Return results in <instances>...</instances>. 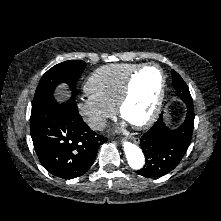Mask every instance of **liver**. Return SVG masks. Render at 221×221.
Segmentation results:
<instances>
[{"mask_svg":"<svg viewBox=\"0 0 221 221\" xmlns=\"http://www.w3.org/2000/svg\"><path fill=\"white\" fill-rule=\"evenodd\" d=\"M58 100L62 101V100H65L69 95H68V92L66 90H60L58 92Z\"/></svg>","mask_w":221,"mask_h":221,"instance_id":"liver-1","label":"liver"}]
</instances>
